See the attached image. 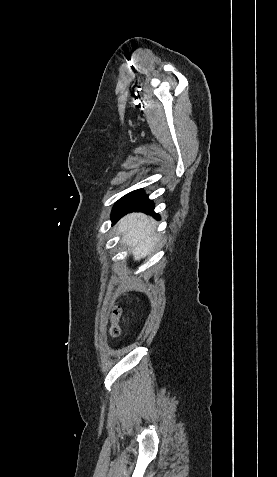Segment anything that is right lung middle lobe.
Here are the masks:
<instances>
[{"instance_id": "obj_1", "label": "right lung middle lobe", "mask_w": 277, "mask_h": 477, "mask_svg": "<svg viewBox=\"0 0 277 477\" xmlns=\"http://www.w3.org/2000/svg\"><path fill=\"white\" fill-rule=\"evenodd\" d=\"M143 190H135L133 192L128 193L121 199H119L112 211V220L115 222L120 218V215L123 211L131 207L142 195H143Z\"/></svg>"}]
</instances>
